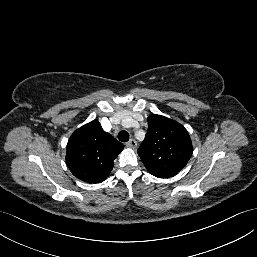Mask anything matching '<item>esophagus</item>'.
<instances>
[{
	"instance_id": "34e87169",
	"label": "esophagus",
	"mask_w": 257,
	"mask_h": 257,
	"mask_svg": "<svg viewBox=\"0 0 257 257\" xmlns=\"http://www.w3.org/2000/svg\"><path fill=\"white\" fill-rule=\"evenodd\" d=\"M127 147L130 148H135L137 146V142L134 139H130L127 143H126Z\"/></svg>"
}]
</instances>
